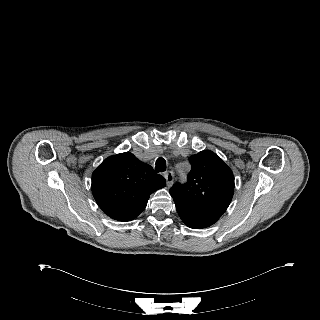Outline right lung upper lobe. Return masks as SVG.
<instances>
[{
    "mask_svg": "<svg viewBox=\"0 0 320 320\" xmlns=\"http://www.w3.org/2000/svg\"><path fill=\"white\" fill-rule=\"evenodd\" d=\"M165 185L161 175L130 152L110 156L92 176V192L99 207L109 217L123 222L136 218L145 209L149 196Z\"/></svg>",
    "mask_w": 320,
    "mask_h": 320,
    "instance_id": "cb5924a9",
    "label": "right lung upper lobe"
}]
</instances>
